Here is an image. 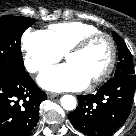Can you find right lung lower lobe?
Wrapping results in <instances>:
<instances>
[{
	"mask_svg": "<svg viewBox=\"0 0 136 136\" xmlns=\"http://www.w3.org/2000/svg\"><path fill=\"white\" fill-rule=\"evenodd\" d=\"M45 99L46 93L27 72L0 77V136H28Z\"/></svg>",
	"mask_w": 136,
	"mask_h": 136,
	"instance_id": "right-lung-lower-lobe-1",
	"label": "right lung lower lobe"
}]
</instances>
